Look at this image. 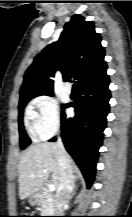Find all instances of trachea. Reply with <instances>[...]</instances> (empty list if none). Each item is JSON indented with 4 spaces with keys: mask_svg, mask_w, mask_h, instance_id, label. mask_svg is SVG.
Wrapping results in <instances>:
<instances>
[{
    "mask_svg": "<svg viewBox=\"0 0 132 217\" xmlns=\"http://www.w3.org/2000/svg\"><path fill=\"white\" fill-rule=\"evenodd\" d=\"M76 88H77V85H76V84H74V85H73V89H76Z\"/></svg>",
    "mask_w": 132,
    "mask_h": 217,
    "instance_id": "1",
    "label": "trachea"
}]
</instances>
